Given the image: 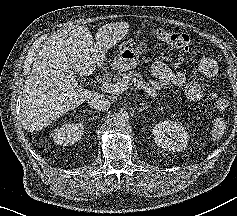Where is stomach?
<instances>
[{
	"instance_id": "obj_1",
	"label": "stomach",
	"mask_w": 237,
	"mask_h": 216,
	"mask_svg": "<svg viewBox=\"0 0 237 216\" xmlns=\"http://www.w3.org/2000/svg\"><path fill=\"white\" fill-rule=\"evenodd\" d=\"M148 51V44L145 41L140 42L135 48L126 47L114 58L112 65L118 70H131L140 62L139 58Z\"/></svg>"
}]
</instances>
